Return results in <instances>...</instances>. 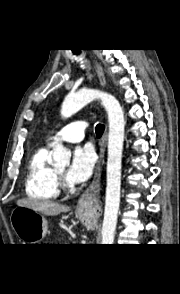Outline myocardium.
I'll list each match as a JSON object with an SVG mask.
<instances>
[{
  "label": "myocardium",
  "instance_id": "obj_1",
  "mask_svg": "<svg viewBox=\"0 0 180 294\" xmlns=\"http://www.w3.org/2000/svg\"><path fill=\"white\" fill-rule=\"evenodd\" d=\"M55 174L57 176L58 188L66 191V192L71 191V186L66 182L64 176L59 174L57 172V170H55Z\"/></svg>",
  "mask_w": 180,
  "mask_h": 294
}]
</instances>
